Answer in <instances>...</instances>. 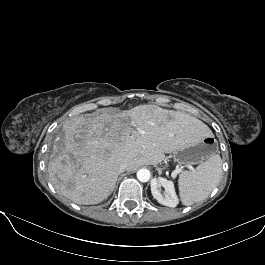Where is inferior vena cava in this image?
Instances as JSON below:
<instances>
[{
    "mask_svg": "<svg viewBox=\"0 0 265 265\" xmlns=\"http://www.w3.org/2000/svg\"><path fill=\"white\" fill-rule=\"evenodd\" d=\"M128 168H129L128 163H121V164L119 165V167H118V173L120 174V173H122V172L128 170Z\"/></svg>",
    "mask_w": 265,
    "mask_h": 265,
    "instance_id": "obj_1",
    "label": "inferior vena cava"
}]
</instances>
